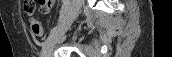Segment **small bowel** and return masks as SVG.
<instances>
[{
	"instance_id": "obj_1",
	"label": "small bowel",
	"mask_w": 172,
	"mask_h": 57,
	"mask_svg": "<svg viewBox=\"0 0 172 57\" xmlns=\"http://www.w3.org/2000/svg\"><path fill=\"white\" fill-rule=\"evenodd\" d=\"M54 2H55L54 0H43L42 2H39L41 12L45 14L49 13L51 8L54 5ZM27 6H28V1H26L24 4L25 11H26ZM27 13L30 14V12H27Z\"/></svg>"
}]
</instances>
